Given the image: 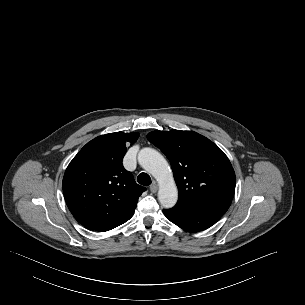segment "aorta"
Instances as JSON below:
<instances>
[{
  "label": "aorta",
  "mask_w": 305,
  "mask_h": 305,
  "mask_svg": "<svg viewBox=\"0 0 305 305\" xmlns=\"http://www.w3.org/2000/svg\"><path fill=\"white\" fill-rule=\"evenodd\" d=\"M139 164L159 183L158 199L164 208H172L178 199V190L172 171L165 158L152 148H143L138 154Z\"/></svg>",
  "instance_id": "obj_1"
}]
</instances>
